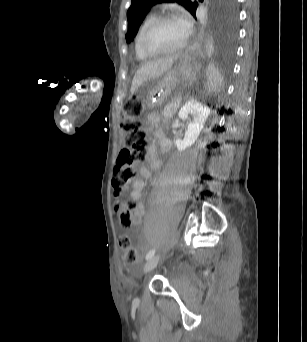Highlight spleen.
<instances>
[{"label": "spleen", "mask_w": 307, "mask_h": 342, "mask_svg": "<svg viewBox=\"0 0 307 342\" xmlns=\"http://www.w3.org/2000/svg\"><path fill=\"white\" fill-rule=\"evenodd\" d=\"M207 76L208 78V83H206L205 88L206 90H217L218 85L223 82V79L220 76V71L218 70L217 65H214L211 63L207 67Z\"/></svg>", "instance_id": "obj_1"}]
</instances>
